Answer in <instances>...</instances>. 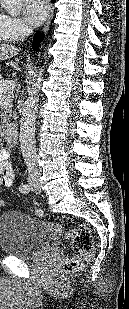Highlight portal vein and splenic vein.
I'll return each mask as SVG.
<instances>
[{"instance_id": "obj_1", "label": "portal vein and splenic vein", "mask_w": 129, "mask_h": 309, "mask_svg": "<svg viewBox=\"0 0 129 309\" xmlns=\"http://www.w3.org/2000/svg\"><path fill=\"white\" fill-rule=\"evenodd\" d=\"M2 87H6L7 89H14L15 88V81L7 80L4 84L1 85Z\"/></svg>"}]
</instances>
